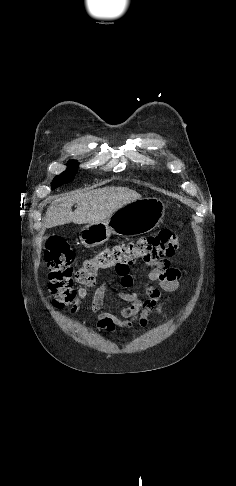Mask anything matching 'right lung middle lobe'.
I'll use <instances>...</instances> for the list:
<instances>
[{"label":"right lung middle lobe","instance_id":"obj_1","mask_svg":"<svg viewBox=\"0 0 236 486\" xmlns=\"http://www.w3.org/2000/svg\"><path fill=\"white\" fill-rule=\"evenodd\" d=\"M68 165H69V168L66 171L62 172L60 175H57L53 179V181H52V188L53 189L59 187L62 184L68 183L73 179L74 174H75L76 169H77V165L74 162H69Z\"/></svg>","mask_w":236,"mask_h":486}]
</instances>
